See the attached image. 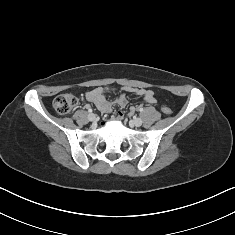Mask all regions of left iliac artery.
I'll use <instances>...</instances> for the list:
<instances>
[{"label":"left iliac artery","instance_id":"44dca946","mask_svg":"<svg viewBox=\"0 0 235 235\" xmlns=\"http://www.w3.org/2000/svg\"><path fill=\"white\" fill-rule=\"evenodd\" d=\"M139 111H140V112H142V111H143V108H142V107H140V108H139Z\"/></svg>","mask_w":235,"mask_h":235}]
</instances>
